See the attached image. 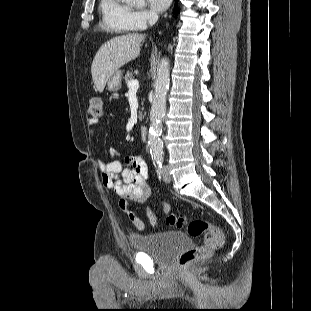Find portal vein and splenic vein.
Masks as SVG:
<instances>
[{"instance_id": "18ae733b", "label": "portal vein and splenic vein", "mask_w": 311, "mask_h": 311, "mask_svg": "<svg viewBox=\"0 0 311 311\" xmlns=\"http://www.w3.org/2000/svg\"><path fill=\"white\" fill-rule=\"evenodd\" d=\"M128 88L130 90H137L139 88V81L137 79H133L128 82Z\"/></svg>"}]
</instances>
